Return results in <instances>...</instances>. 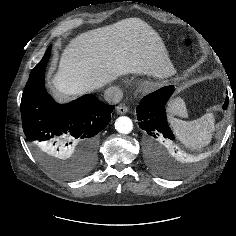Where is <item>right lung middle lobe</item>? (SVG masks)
Returning a JSON list of instances; mask_svg holds the SVG:
<instances>
[{"mask_svg": "<svg viewBox=\"0 0 236 236\" xmlns=\"http://www.w3.org/2000/svg\"><path fill=\"white\" fill-rule=\"evenodd\" d=\"M35 152L39 157L41 163L50 171L59 174L63 177L76 178L85 174L95 162L84 161L80 162V165H75L74 160H69L67 162H59L56 158L49 155L43 148L34 146Z\"/></svg>", "mask_w": 236, "mask_h": 236, "instance_id": "dd1d6c3e", "label": "right lung middle lobe"}]
</instances>
